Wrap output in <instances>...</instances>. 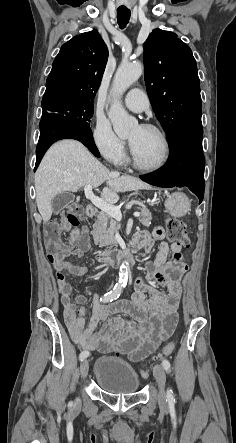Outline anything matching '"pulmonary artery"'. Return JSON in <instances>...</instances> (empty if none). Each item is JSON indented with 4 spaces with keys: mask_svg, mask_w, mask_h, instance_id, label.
Segmentation results:
<instances>
[{
    "mask_svg": "<svg viewBox=\"0 0 236 443\" xmlns=\"http://www.w3.org/2000/svg\"><path fill=\"white\" fill-rule=\"evenodd\" d=\"M125 105L132 111L142 112L149 107V100L141 89H131L125 96Z\"/></svg>",
    "mask_w": 236,
    "mask_h": 443,
    "instance_id": "1",
    "label": "pulmonary artery"
}]
</instances>
